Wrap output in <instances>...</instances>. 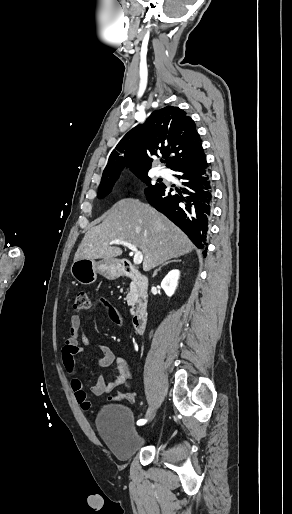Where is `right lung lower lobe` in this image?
<instances>
[{
	"instance_id": "right-lung-lower-lobe-1",
	"label": "right lung lower lobe",
	"mask_w": 292,
	"mask_h": 514,
	"mask_svg": "<svg viewBox=\"0 0 292 514\" xmlns=\"http://www.w3.org/2000/svg\"><path fill=\"white\" fill-rule=\"evenodd\" d=\"M182 186L170 188L161 184L145 193L147 201L167 216L190 240L207 254L206 234L212 208V187L205 155L185 163L176 169ZM176 190L178 193H172Z\"/></svg>"
}]
</instances>
